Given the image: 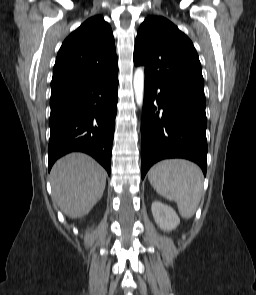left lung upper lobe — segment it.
Listing matches in <instances>:
<instances>
[{"instance_id": "obj_1", "label": "left lung upper lobe", "mask_w": 256, "mask_h": 295, "mask_svg": "<svg viewBox=\"0 0 256 295\" xmlns=\"http://www.w3.org/2000/svg\"><path fill=\"white\" fill-rule=\"evenodd\" d=\"M134 64L145 76L171 92L206 102L201 64L191 40L164 17L149 16L141 24Z\"/></svg>"}]
</instances>
